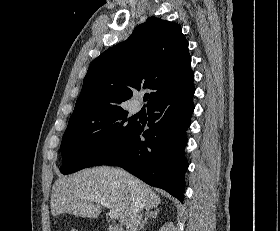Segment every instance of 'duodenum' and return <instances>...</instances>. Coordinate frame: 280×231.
Instances as JSON below:
<instances>
[{"label": "duodenum", "instance_id": "1", "mask_svg": "<svg viewBox=\"0 0 280 231\" xmlns=\"http://www.w3.org/2000/svg\"><path fill=\"white\" fill-rule=\"evenodd\" d=\"M106 230L107 231H123V228L116 224L107 223Z\"/></svg>", "mask_w": 280, "mask_h": 231}]
</instances>
